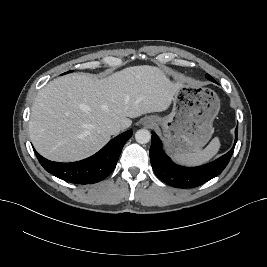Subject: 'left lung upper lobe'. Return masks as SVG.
<instances>
[{
	"mask_svg": "<svg viewBox=\"0 0 267 267\" xmlns=\"http://www.w3.org/2000/svg\"><path fill=\"white\" fill-rule=\"evenodd\" d=\"M206 77H207L208 79H210V80L213 79V78H212L210 75H208V74L206 75ZM213 80H214V79H213Z\"/></svg>",
	"mask_w": 267,
	"mask_h": 267,
	"instance_id": "1",
	"label": "left lung upper lobe"
}]
</instances>
